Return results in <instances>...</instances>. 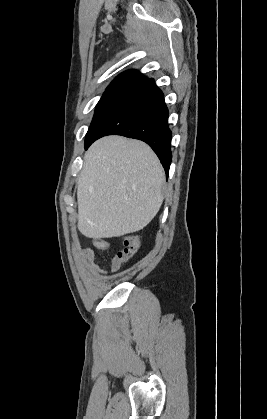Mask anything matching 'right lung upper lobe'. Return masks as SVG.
Segmentation results:
<instances>
[{"label": "right lung upper lobe", "mask_w": 267, "mask_h": 419, "mask_svg": "<svg viewBox=\"0 0 267 419\" xmlns=\"http://www.w3.org/2000/svg\"><path fill=\"white\" fill-rule=\"evenodd\" d=\"M149 79L135 70H129L117 76L107 87L105 93L125 92L130 93Z\"/></svg>", "instance_id": "right-lung-upper-lobe-1"}]
</instances>
